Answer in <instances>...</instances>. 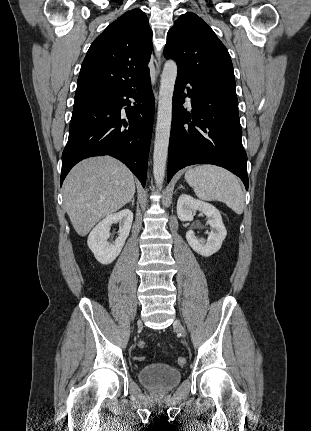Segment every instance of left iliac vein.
<instances>
[{"label": "left iliac vein", "mask_w": 311, "mask_h": 431, "mask_svg": "<svg viewBox=\"0 0 311 431\" xmlns=\"http://www.w3.org/2000/svg\"><path fill=\"white\" fill-rule=\"evenodd\" d=\"M173 327L183 336L185 337L186 333H185V329L183 327V325L181 324V322L177 319H175V321L173 322Z\"/></svg>", "instance_id": "4c4485c4"}]
</instances>
